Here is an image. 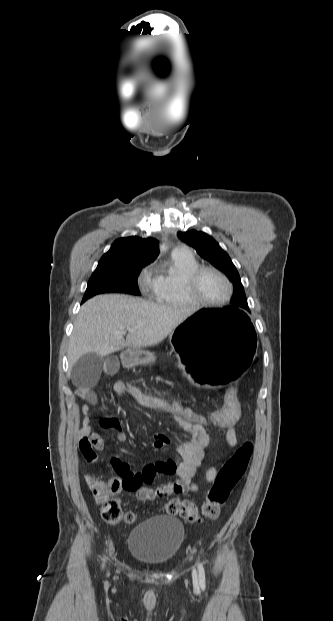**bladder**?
<instances>
[{
    "label": "bladder",
    "mask_w": 333,
    "mask_h": 621,
    "mask_svg": "<svg viewBox=\"0 0 333 621\" xmlns=\"http://www.w3.org/2000/svg\"><path fill=\"white\" fill-rule=\"evenodd\" d=\"M183 523L174 516H154L129 534L128 548L131 556L146 565L163 566L179 552L184 541Z\"/></svg>",
    "instance_id": "1"
}]
</instances>
